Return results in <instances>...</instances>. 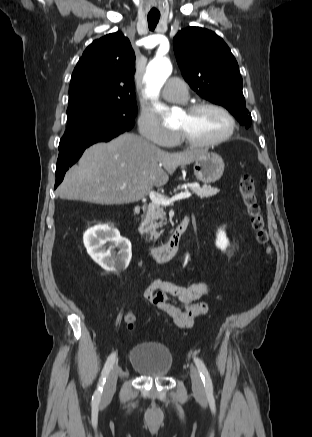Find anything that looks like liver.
<instances>
[{
    "label": "liver",
    "instance_id": "obj_1",
    "mask_svg": "<svg viewBox=\"0 0 312 437\" xmlns=\"http://www.w3.org/2000/svg\"><path fill=\"white\" fill-rule=\"evenodd\" d=\"M204 152H168L136 134L124 133L87 148L78 165L66 173L59 196L101 205L137 202L153 187L164 186L177 167L194 162Z\"/></svg>",
    "mask_w": 312,
    "mask_h": 437
}]
</instances>
